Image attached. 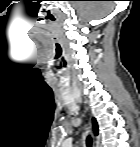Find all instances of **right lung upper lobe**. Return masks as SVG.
Returning a JSON list of instances; mask_svg holds the SVG:
<instances>
[{
  "label": "right lung upper lobe",
  "mask_w": 140,
  "mask_h": 147,
  "mask_svg": "<svg viewBox=\"0 0 140 147\" xmlns=\"http://www.w3.org/2000/svg\"><path fill=\"white\" fill-rule=\"evenodd\" d=\"M93 127H94L95 135H97L98 134V125H97V122L94 118H93Z\"/></svg>",
  "instance_id": "right-lung-upper-lobe-1"
}]
</instances>
